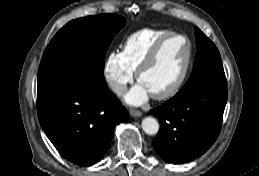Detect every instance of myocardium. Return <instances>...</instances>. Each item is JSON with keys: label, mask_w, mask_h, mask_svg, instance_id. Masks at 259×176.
Returning <instances> with one entry per match:
<instances>
[{"label": "myocardium", "mask_w": 259, "mask_h": 176, "mask_svg": "<svg viewBox=\"0 0 259 176\" xmlns=\"http://www.w3.org/2000/svg\"><path fill=\"white\" fill-rule=\"evenodd\" d=\"M174 36L181 37L186 41L187 51H186L185 63L180 75L169 88H167L162 92L151 94V96L156 100H164L174 96L183 85L189 73L191 63H192L193 46H192L191 40L187 35L180 32L170 31L166 33L154 43V45L152 46V48L150 49V51L148 52V54L146 55V57L143 59V61L141 62V64L136 70V78L139 81L143 72L147 70L154 63L165 42L169 38Z\"/></svg>", "instance_id": "obj_1"}]
</instances>
